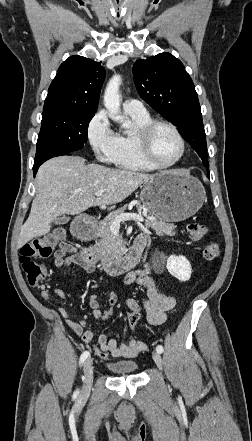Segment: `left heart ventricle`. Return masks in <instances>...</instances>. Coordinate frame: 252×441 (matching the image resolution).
I'll use <instances>...</instances> for the list:
<instances>
[{
    "instance_id": "1",
    "label": "left heart ventricle",
    "mask_w": 252,
    "mask_h": 441,
    "mask_svg": "<svg viewBox=\"0 0 252 441\" xmlns=\"http://www.w3.org/2000/svg\"><path fill=\"white\" fill-rule=\"evenodd\" d=\"M152 152L160 163L173 161L181 151V145L175 134L166 127L156 129L151 140Z\"/></svg>"
}]
</instances>
